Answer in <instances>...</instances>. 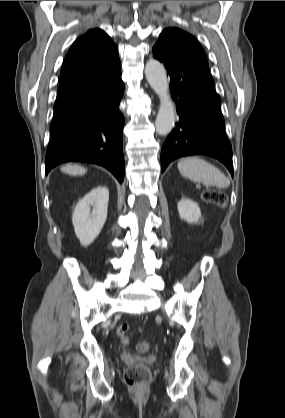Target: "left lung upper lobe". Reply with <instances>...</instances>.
I'll list each match as a JSON object with an SVG mask.
<instances>
[{
  "instance_id": "5c2ea615",
  "label": "left lung upper lobe",
  "mask_w": 285,
  "mask_h": 418,
  "mask_svg": "<svg viewBox=\"0 0 285 418\" xmlns=\"http://www.w3.org/2000/svg\"><path fill=\"white\" fill-rule=\"evenodd\" d=\"M159 40L169 43L176 51L210 74L205 52L195 37L179 28L170 27L163 30Z\"/></svg>"
}]
</instances>
